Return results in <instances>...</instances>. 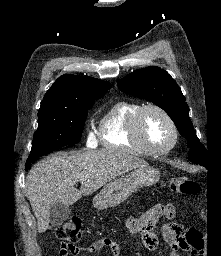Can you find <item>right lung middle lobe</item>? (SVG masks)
<instances>
[{
	"label": "right lung middle lobe",
	"mask_w": 221,
	"mask_h": 256,
	"mask_svg": "<svg viewBox=\"0 0 221 256\" xmlns=\"http://www.w3.org/2000/svg\"><path fill=\"white\" fill-rule=\"evenodd\" d=\"M98 98L100 96L80 100L73 109L38 112V129L25 168L28 169L31 163L56 148L78 143L88 109Z\"/></svg>",
	"instance_id": "1"
}]
</instances>
